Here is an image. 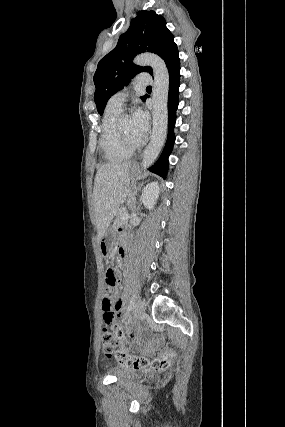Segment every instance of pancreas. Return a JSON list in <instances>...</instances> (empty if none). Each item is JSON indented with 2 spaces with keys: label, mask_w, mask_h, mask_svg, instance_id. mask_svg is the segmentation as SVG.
Here are the masks:
<instances>
[{
  "label": "pancreas",
  "mask_w": 285,
  "mask_h": 427,
  "mask_svg": "<svg viewBox=\"0 0 285 427\" xmlns=\"http://www.w3.org/2000/svg\"><path fill=\"white\" fill-rule=\"evenodd\" d=\"M125 213H127V210H126L125 208H120V209L118 210V212H117V216H116V219H115V221H114V225H115V226H118V225L122 224L123 222H125V221H123V220L121 219V217H122V216H123V214H125Z\"/></svg>",
  "instance_id": "obj_1"
}]
</instances>
